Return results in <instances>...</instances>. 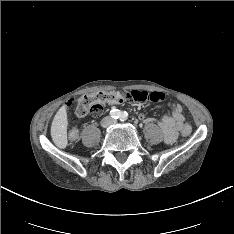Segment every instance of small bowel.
<instances>
[{"instance_id": "c3829d8e", "label": "small bowel", "mask_w": 234, "mask_h": 234, "mask_svg": "<svg viewBox=\"0 0 234 234\" xmlns=\"http://www.w3.org/2000/svg\"><path fill=\"white\" fill-rule=\"evenodd\" d=\"M169 107H170V113L168 115H165L160 120L146 117L144 111L139 113V117L146 124L156 122L160 126V128L164 132L166 143L174 142L177 133L185 127V117L183 115L182 107L178 104H169Z\"/></svg>"}]
</instances>
